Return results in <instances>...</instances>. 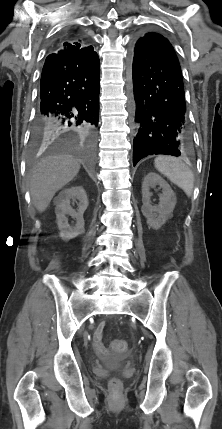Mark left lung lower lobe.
<instances>
[{
  "mask_svg": "<svg viewBox=\"0 0 222 429\" xmlns=\"http://www.w3.org/2000/svg\"><path fill=\"white\" fill-rule=\"evenodd\" d=\"M133 165L153 154L180 156L190 148L182 72L162 35L136 40L130 53Z\"/></svg>",
  "mask_w": 222,
  "mask_h": 429,
  "instance_id": "obj_1",
  "label": "left lung lower lobe"
}]
</instances>
